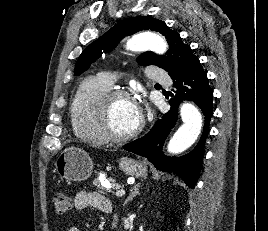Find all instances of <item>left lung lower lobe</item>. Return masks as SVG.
<instances>
[{"label":"left lung lower lobe","instance_id":"0a47b994","mask_svg":"<svg viewBox=\"0 0 268 231\" xmlns=\"http://www.w3.org/2000/svg\"><path fill=\"white\" fill-rule=\"evenodd\" d=\"M170 77L173 79L175 94L170 99L171 109L159 119L152 129L142 138L123 146L148 160L160 171L173 172L181 177L186 185L194 188L201 169L204 156V144L209 132V122L213 115V92L207 75L197 57L190 60L187 66ZM190 100L200 107L205 116L201 139L195 148L182 157H165L162 154L163 143L177 122V110L181 101Z\"/></svg>","mask_w":268,"mask_h":231}]
</instances>
